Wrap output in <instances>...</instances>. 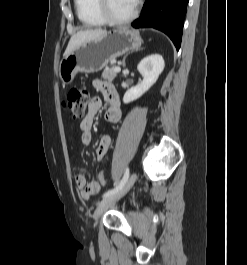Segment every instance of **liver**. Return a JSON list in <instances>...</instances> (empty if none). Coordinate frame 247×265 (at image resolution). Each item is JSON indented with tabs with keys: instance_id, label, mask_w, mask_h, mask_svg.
<instances>
[{
	"instance_id": "1",
	"label": "liver",
	"mask_w": 247,
	"mask_h": 265,
	"mask_svg": "<svg viewBox=\"0 0 247 265\" xmlns=\"http://www.w3.org/2000/svg\"><path fill=\"white\" fill-rule=\"evenodd\" d=\"M104 33H106V31L103 29L85 30L77 32L76 34L72 35V37L70 38L68 46L64 52V57L67 56L70 52H72L82 43L96 39L101 35H103Z\"/></svg>"
}]
</instances>
